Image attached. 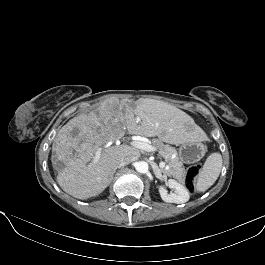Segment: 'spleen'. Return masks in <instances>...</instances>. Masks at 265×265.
I'll return each instance as SVG.
<instances>
[{
  "label": "spleen",
  "mask_w": 265,
  "mask_h": 265,
  "mask_svg": "<svg viewBox=\"0 0 265 265\" xmlns=\"http://www.w3.org/2000/svg\"><path fill=\"white\" fill-rule=\"evenodd\" d=\"M222 156L220 153H212L205 161L199 173L196 190L205 192L218 179L222 169Z\"/></svg>",
  "instance_id": "spleen-1"
}]
</instances>
